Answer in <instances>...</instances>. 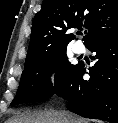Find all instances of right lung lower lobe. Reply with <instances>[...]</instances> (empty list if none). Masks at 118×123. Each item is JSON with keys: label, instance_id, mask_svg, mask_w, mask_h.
Segmentation results:
<instances>
[{"label": "right lung lower lobe", "instance_id": "98d812e1", "mask_svg": "<svg viewBox=\"0 0 118 123\" xmlns=\"http://www.w3.org/2000/svg\"><path fill=\"white\" fill-rule=\"evenodd\" d=\"M88 49L96 52L95 65L84 80L86 69L79 63L69 81L55 94L68 101L70 110L86 118L118 123V33L103 38Z\"/></svg>", "mask_w": 118, "mask_h": 123}]
</instances>
